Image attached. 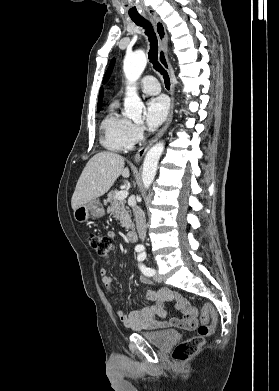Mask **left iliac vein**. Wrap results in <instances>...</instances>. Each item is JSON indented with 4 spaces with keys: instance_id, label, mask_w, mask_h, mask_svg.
I'll use <instances>...</instances> for the list:
<instances>
[{
    "instance_id": "left-iliac-vein-1",
    "label": "left iliac vein",
    "mask_w": 279,
    "mask_h": 391,
    "mask_svg": "<svg viewBox=\"0 0 279 391\" xmlns=\"http://www.w3.org/2000/svg\"><path fill=\"white\" fill-rule=\"evenodd\" d=\"M154 280L156 281V282H161L162 281V278H161V276L159 275V273H155V275H154Z\"/></svg>"
}]
</instances>
